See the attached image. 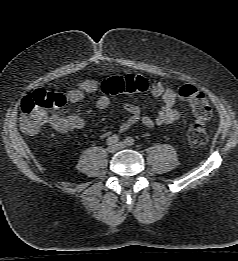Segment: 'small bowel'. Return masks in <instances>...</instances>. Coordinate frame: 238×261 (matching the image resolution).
Wrapping results in <instances>:
<instances>
[{"label": "small bowel", "mask_w": 238, "mask_h": 261, "mask_svg": "<svg viewBox=\"0 0 238 261\" xmlns=\"http://www.w3.org/2000/svg\"><path fill=\"white\" fill-rule=\"evenodd\" d=\"M102 83L94 79H85L64 93L65 101L78 102L83 100L87 95L99 94L95 105L99 109H106L112 106L110 97L102 92ZM150 92L153 97L160 99L162 107L158 113L152 117L144 113L139 106L124 102L122 108L128 113L126 119L120 125V131H126L136 123H142L148 128H154L161 125H170L180 118V112L175 108L178 101V95L174 89L160 82H154L150 86ZM47 122L61 133H69L74 130H80L84 127V119L78 115L61 116L57 113H49Z\"/></svg>", "instance_id": "1"}]
</instances>
